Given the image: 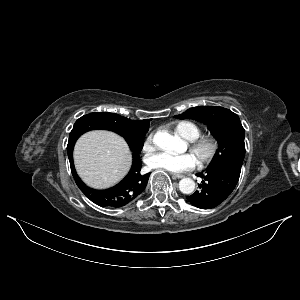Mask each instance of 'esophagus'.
I'll return each instance as SVG.
<instances>
[{
	"label": "esophagus",
	"instance_id": "34e87169",
	"mask_svg": "<svg viewBox=\"0 0 300 300\" xmlns=\"http://www.w3.org/2000/svg\"><path fill=\"white\" fill-rule=\"evenodd\" d=\"M174 178H177V179H180V178H183L184 177V175H182V174H173L172 175Z\"/></svg>",
	"mask_w": 300,
	"mask_h": 300
}]
</instances>
